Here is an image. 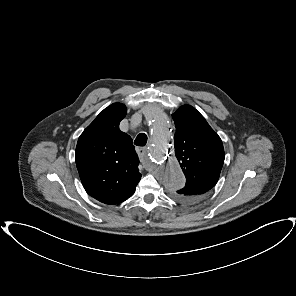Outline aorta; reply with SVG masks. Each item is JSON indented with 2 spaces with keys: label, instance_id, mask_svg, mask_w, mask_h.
Segmentation results:
<instances>
[{
  "label": "aorta",
  "instance_id": "obj_1",
  "mask_svg": "<svg viewBox=\"0 0 296 296\" xmlns=\"http://www.w3.org/2000/svg\"><path fill=\"white\" fill-rule=\"evenodd\" d=\"M149 118L151 120L150 156L156 168L155 174L168 189H179L184 185L185 178L178 162L173 159L174 125L157 106L149 108Z\"/></svg>",
  "mask_w": 296,
  "mask_h": 296
}]
</instances>
